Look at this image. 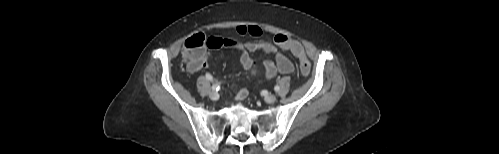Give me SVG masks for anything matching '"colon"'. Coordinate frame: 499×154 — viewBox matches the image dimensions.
<instances>
[{
  "instance_id": "obj_1",
  "label": "colon",
  "mask_w": 499,
  "mask_h": 154,
  "mask_svg": "<svg viewBox=\"0 0 499 154\" xmlns=\"http://www.w3.org/2000/svg\"><path fill=\"white\" fill-rule=\"evenodd\" d=\"M274 42L290 51L299 61V69L303 76H307L310 73L311 65L308 61L305 51L302 45L286 34H277L274 37ZM208 47V40L201 33H196L189 37L183 46L182 58L186 64L190 67H199L205 60Z\"/></svg>"
}]
</instances>
